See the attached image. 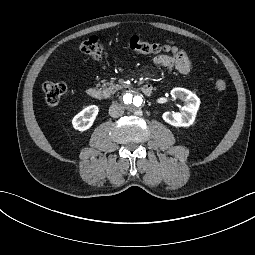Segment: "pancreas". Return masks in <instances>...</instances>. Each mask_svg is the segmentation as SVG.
Segmentation results:
<instances>
[{
    "label": "pancreas",
    "mask_w": 255,
    "mask_h": 255,
    "mask_svg": "<svg viewBox=\"0 0 255 255\" xmlns=\"http://www.w3.org/2000/svg\"><path fill=\"white\" fill-rule=\"evenodd\" d=\"M97 86L99 87V86H101V84L98 83ZM102 88H103V91H102L103 94L108 97V96L114 94L116 92V90H120L123 87L120 85H115L114 83H104L102 85Z\"/></svg>",
    "instance_id": "obj_1"
}]
</instances>
